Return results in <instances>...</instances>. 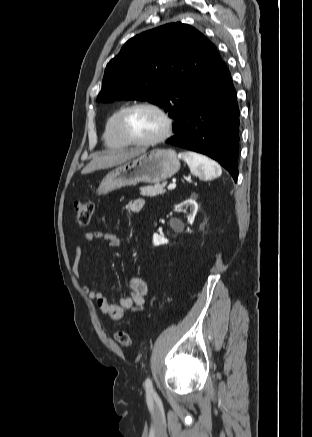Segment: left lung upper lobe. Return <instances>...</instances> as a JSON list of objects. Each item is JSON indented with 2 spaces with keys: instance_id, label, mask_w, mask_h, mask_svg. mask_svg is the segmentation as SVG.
Listing matches in <instances>:
<instances>
[{
  "instance_id": "1",
  "label": "left lung upper lobe",
  "mask_w": 312,
  "mask_h": 437,
  "mask_svg": "<svg viewBox=\"0 0 312 437\" xmlns=\"http://www.w3.org/2000/svg\"><path fill=\"white\" fill-rule=\"evenodd\" d=\"M223 61L195 28L170 23L128 40L106 66L98 102L145 100L175 120L218 73Z\"/></svg>"
}]
</instances>
